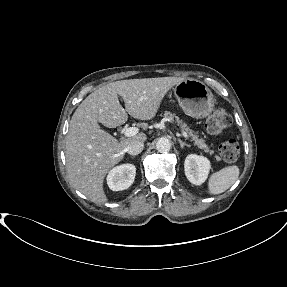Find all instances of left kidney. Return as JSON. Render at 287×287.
I'll use <instances>...</instances> for the list:
<instances>
[{"label": "left kidney", "instance_id": "1", "mask_svg": "<svg viewBox=\"0 0 287 287\" xmlns=\"http://www.w3.org/2000/svg\"><path fill=\"white\" fill-rule=\"evenodd\" d=\"M210 161L203 156L190 154L184 162L185 175L195 185H201L208 177Z\"/></svg>", "mask_w": 287, "mask_h": 287}]
</instances>
